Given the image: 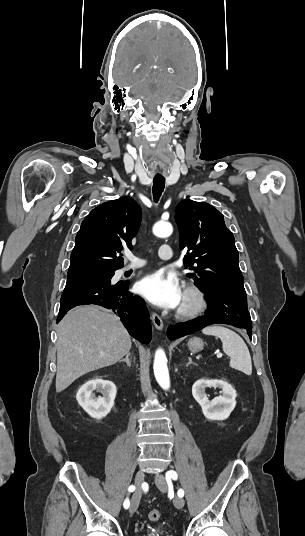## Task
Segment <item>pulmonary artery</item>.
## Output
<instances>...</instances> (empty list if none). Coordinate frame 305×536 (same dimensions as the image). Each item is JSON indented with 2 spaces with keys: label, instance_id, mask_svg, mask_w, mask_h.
Masks as SVG:
<instances>
[{
  "label": "pulmonary artery",
  "instance_id": "1",
  "mask_svg": "<svg viewBox=\"0 0 305 536\" xmlns=\"http://www.w3.org/2000/svg\"><path fill=\"white\" fill-rule=\"evenodd\" d=\"M160 257L164 260H170L172 258V253H171V247L169 245H166V244H162V247L160 248ZM129 257H131V260L133 262H140L142 260V257L140 255H132L131 253L128 254ZM144 267V264H128L126 265L125 267L122 268V273H125V272H128V271H131V270H137V269H140Z\"/></svg>",
  "mask_w": 305,
  "mask_h": 536
}]
</instances>
